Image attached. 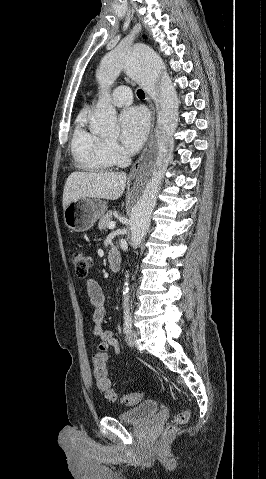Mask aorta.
<instances>
[{"instance_id": "1", "label": "aorta", "mask_w": 266, "mask_h": 479, "mask_svg": "<svg viewBox=\"0 0 266 479\" xmlns=\"http://www.w3.org/2000/svg\"><path fill=\"white\" fill-rule=\"evenodd\" d=\"M125 70L132 78L141 82L156 102L161 120L157 126V153L153 163L148 167L144 177L133 191L130 201V233L133 243H140L151 222V215L156 204L162 174L165 168L167 152V129L174 118V100L168 88L167 75L161 58L145 44H134L129 48H116L107 53L97 71V79L104 90H108ZM91 128L94 132L117 136L119 125L116 111L108 95H103L95 110L90 115ZM126 280L129 275L127 274ZM124 313L129 312V287L127 281L123 291Z\"/></svg>"}]
</instances>
